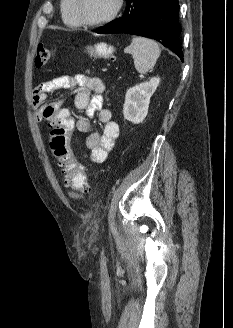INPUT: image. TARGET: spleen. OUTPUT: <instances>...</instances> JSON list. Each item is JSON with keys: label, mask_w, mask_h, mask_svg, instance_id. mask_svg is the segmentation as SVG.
<instances>
[{"label": "spleen", "mask_w": 233, "mask_h": 328, "mask_svg": "<svg viewBox=\"0 0 233 328\" xmlns=\"http://www.w3.org/2000/svg\"><path fill=\"white\" fill-rule=\"evenodd\" d=\"M134 59L135 69L145 74L154 68L161 50L157 42L146 37H134L131 44L124 49Z\"/></svg>", "instance_id": "obj_1"}]
</instances>
